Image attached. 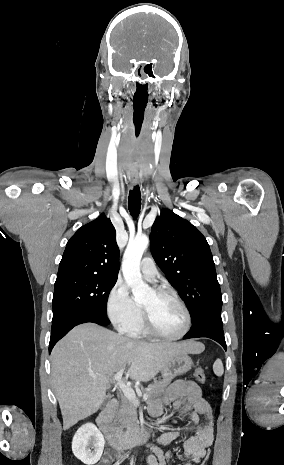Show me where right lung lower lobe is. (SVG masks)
<instances>
[{
	"instance_id": "1",
	"label": "right lung lower lobe",
	"mask_w": 284,
	"mask_h": 465,
	"mask_svg": "<svg viewBox=\"0 0 284 465\" xmlns=\"http://www.w3.org/2000/svg\"><path fill=\"white\" fill-rule=\"evenodd\" d=\"M87 322L99 325H108L110 323L105 314L91 310H73L53 319L49 343V354L51 353L54 345L73 327Z\"/></svg>"
}]
</instances>
